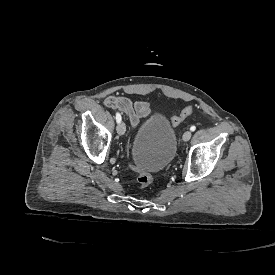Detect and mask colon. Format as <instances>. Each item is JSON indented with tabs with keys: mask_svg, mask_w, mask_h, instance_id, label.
Masks as SVG:
<instances>
[{
	"mask_svg": "<svg viewBox=\"0 0 275 275\" xmlns=\"http://www.w3.org/2000/svg\"><path fill=\"white\" fill-rule=\"evenodd\" d=\"M192 108H187L182 111L180 115L173 116L168 119V122L170 125L175 126L181 123L190 113H192ZM153 180L152 174L144 170L143 168H138V174H137V184L140 188H146L148 187Z\"/></svg>",
	"mask_w": 275,
	"mask_h": 275,
	"instance_id": "obj_1",
	"label": "colon"
}]
</instances>
